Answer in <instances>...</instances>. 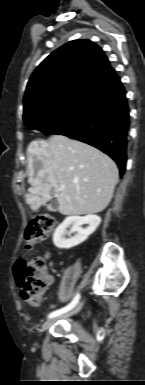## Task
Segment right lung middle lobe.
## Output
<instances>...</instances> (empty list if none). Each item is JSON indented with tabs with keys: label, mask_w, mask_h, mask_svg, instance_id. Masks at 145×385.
Returning a JSON list of instances; mask_svg holds the SVG:
<instances>
[{
	"label": "right lung middle lobe",
	"mask_w": 145,
	"mask_h": 385,
	"mask_svg": "<svg viewBox=\"0 0 145 385\" xmlns=\"http://www.w3.org/2000/svg\"><path fill=\"white\" fill-rule=\"evenodd\" d=\"M95 94L88 89L69 90L31 109L23 116L24 123L29 129L51 134L81 111Z\"/></svg>",
	"instance_id": "dd1d6c3e"
}]
</instances>
